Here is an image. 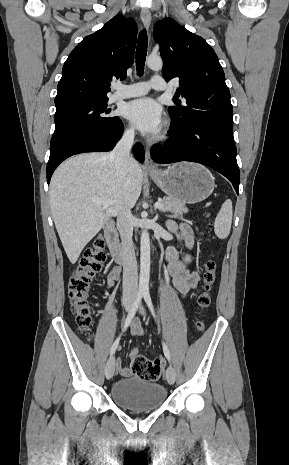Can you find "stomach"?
Wrapping results in <instances>:
<instances>
[{
	"label": "stomach",
	"instance_id": "stomach-1",
	"mask_svg": "<svg viewBox=\"0 0 289 465\" xmlns=\"http://www.w3.org/2000/svg\"><path fill=\"white\" fill-rule=\"evenodd\" d=\"M150 176L169 197L188 204L205 200L215 186L211 172L197 163H176L166 170L150 173Z\"/></svg>",
	"mask_w": 289,
	"mask_h": 465
}]
</instances>
